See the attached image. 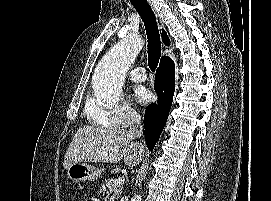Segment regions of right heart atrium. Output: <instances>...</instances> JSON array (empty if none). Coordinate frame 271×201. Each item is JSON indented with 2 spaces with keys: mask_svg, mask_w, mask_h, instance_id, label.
<instances>
[{
  "mask_svg": "<svg viewBox=\"0 0 271 201\" xmlns=\"http://www.w3.org/2000/svg\"><path fill=\"white\" fill-rule=\"evenodd\" d=\"M86 115L92 123L110 127H129L137 124L141 119L138 110L127 103L108 110L98 105L95 100L89 101Z\"/></svg>",
  "mask_w": 271,
  "mask_h": 201,
  "instance_id": "right-heart-atrium-1",
  "label": "right heart atrium"
}]
</instances>
